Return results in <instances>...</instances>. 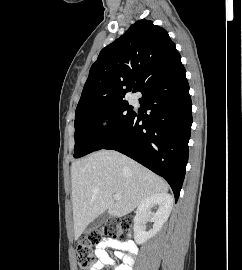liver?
<instances>
[{"label":"liver","mask_w":242,"mask_h":270,"mask_svg":"<svg viewBox=\"0 0 242 270\" xmlns=\"http://www.w3.org/2000/svg\"><path fill=\"white\" fill-rule=\"evenodd\" d=\"M71 178L75 240L101 213L122 217L148 196L168 192L161 177L113 150H100L73 162ZM115 194L120 200L114 199Z\"/></svg>","instance_id":"6515ba94"}]
</instances>
